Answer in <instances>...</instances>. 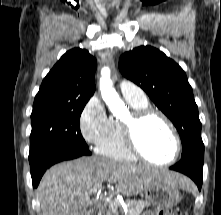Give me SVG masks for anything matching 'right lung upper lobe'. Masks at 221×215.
<instances>
[{
  "instance_id": "obj_1",
  "label": "right lung upper lobe",
  "mask_w": 221,
  "mask_h": 215,
  "mask_svg": "<svg viewBox=\"0 0 221 215\" xmlns=\"http://www.w3.org/2000/svg\"><path fill=\"white\" fill-rule=\"evenodd\" d=\"M96 59L85 49L67 51L44 78L34 104L88 102L95 92Z\"/></svg>"
}]
</instances>
